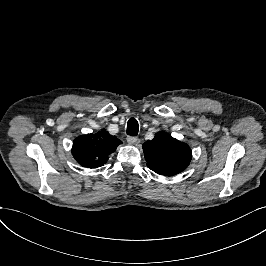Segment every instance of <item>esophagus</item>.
<instances>
[{
	"label": "esophagus",
	"mask_w": 266,
	"mask_h": 266,
	"mask_svg": "<svg viewBox=\"0 0 266 266\" xmlns=\"http://www.w3.org/2000/svg\"><path fill=\"white\" fill-rule=\"evenodd\" d=\"M127 142L131 145H135V144L139 143V139L135 136H128Z\"/></svg>",
	"instance_id": "obj_1"
}]
</instances>
